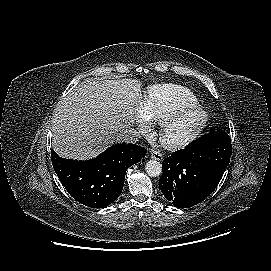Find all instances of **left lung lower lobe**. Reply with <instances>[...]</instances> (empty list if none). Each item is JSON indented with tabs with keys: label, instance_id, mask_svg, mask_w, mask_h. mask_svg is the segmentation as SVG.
Segmentation results:
<instances>
[{
	"label": "left lung lower lobe",
	"instance_id": "obj_1",
	"mask_svg": "<svg viewBox=\"0 0 271 271\" xmlns=\"http://www.w3.org/2000/svg\"><path fill=\"white\" fill-rule=\"evenodd\" d=\"M225 134L223 130L211 131L164 160L159 187L175 207L194 206L217 187L225 171L200 160L194 152L200 144L216 143Z\"/></svg>",
	"mask_w": 271,
	"mask_h": 271
}]
</instances>
